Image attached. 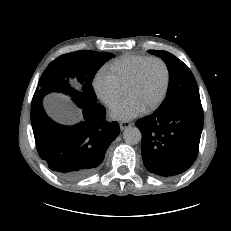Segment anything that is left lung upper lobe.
<instances>
[{
    "instance_id": "1",
    "label": "left lung upper lobe",
    "mask_w": 231,
    "mask_h": 231,
    "mask_svg": "<svg viewBox=\"0 0 231 231\" xmlns=\"http://www.w3.org/2000/svg\"><path fill=\"white\" fill-rule=\"evenodd\" d=\"M160 57L169 71L168 95L158 111H169L186 101H200L196 80L190 69L173 54L162 50H149Z\"/></svg>"
}]
</instances>
